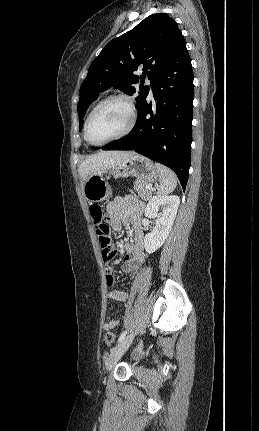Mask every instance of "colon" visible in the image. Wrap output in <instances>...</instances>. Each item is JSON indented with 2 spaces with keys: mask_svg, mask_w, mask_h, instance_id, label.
<instances>
[{
  "mask_svg": "<svg viewBox=\"0 0 259 431\" xmlns=\"http://www.w3.org/2000/svg\"><path fill=\"white\" fill-rule=\"evenodd\" d=\"M89 212L96 229V233L99 239L102 256L104 260L105 261L113 260L115 257V251L112 248L111 237H110V227L104 220L102 207L98 204H93L89 207ZM114 341H115V334L112 331H107L105 334L106 344L108 346H112Z\"/></svg>",
  "mask_w": 259,
  "mask_h": 431,
  "instance_id": "5ec220e1",
  "label": "colon"
}]
</instances>
